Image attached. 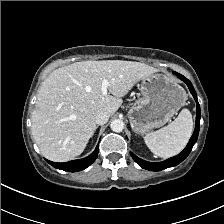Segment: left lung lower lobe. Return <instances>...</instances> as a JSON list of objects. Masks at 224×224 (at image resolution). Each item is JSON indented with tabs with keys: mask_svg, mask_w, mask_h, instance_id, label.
<instances>
[{
	"mask_svg": "<svg viewBox=\"0 0 224 224\" xmlns=\"http://www.w3.org/2000/svg\"><path fill=\"white\" fill-rule=\"evenodd\" d=\"M174 74H176L181 80H183L187 84L190 92L192 93V95L197 103V108H196L197 115H196L195 130H194V133H193L188 145L186 146V148L179 155L169 158L163 162H159V163L147 162V161H144V160L138 158L136 155H134L131 152L130 154H131L132 158L135 160V162L138 165H140L142 168L147 169V170L161 171L163 169L178 165L189 155V153L192 150L193 145L196 143L197 138H198L201 113H200V105L198 103L196 92H195L191 82L187 78H185L183 75L176 73V72H174Z\"/></svg>",
	"mask_w": 224,
	"mask_h": 224,
	"instance_id": "obj_1",
	"label": "left lung lower lobe"
}]
</instances>
